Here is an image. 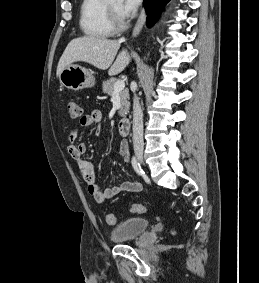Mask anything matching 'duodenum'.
<instances>
[{"instance_id":"1","label":"duodenum","mask_w":259,"mask_h":283,"mask_svg":"<svg viewBox=\"0 0 259 283\" xmlns=\"http://www.w3.org/2000/svg\"><path fill=\"white\" fill-rule=\"evenodd\" d=\"M129 128H130V120L128 118H122L121 120H119L117 125V130L121 136L127 135L129 132Z\"/></svg>"}]
</instances>
